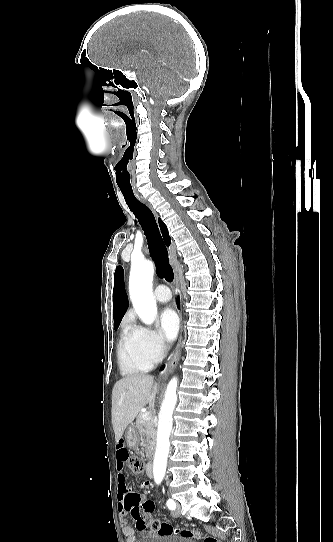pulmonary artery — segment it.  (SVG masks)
I'll use <instances>...</instances> for the list:
<instances>
[{"label":"pulmonary artery","instance_id":"1","mask_svg":"<svg viewBox=\"0 0 333 542\" xmlns=\"http://www.w3.org/2000/svg\"><path fill=\"white\" fill-rule=\"evenodd\" d=\"M172 297L171 292L168 290V287L165 284H160L156 287L155 299L162 304H165L170 301Z\"/></svg>","mask_w":333,"mask_h":542}]
</instances>
